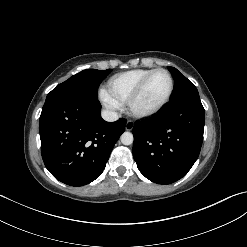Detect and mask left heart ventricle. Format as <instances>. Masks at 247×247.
<instances>
[{
  "mask_svg": "<svg viewBox=\"0 0 247 247\" xmlns=\"http://www.w3.org/2000/svg\"><path fill=\"white\" fill-rule=\"evenodd\" d=\"M169 85V78L165 73L153 75L136 103L137 109L146 110L159 104L166 96Z\"/></svg>",
  "mask_w": 247,
  "mask_h": 247,
  "instance_id": "1",
  "label": "left heart ventricle"
}]
</instances>
